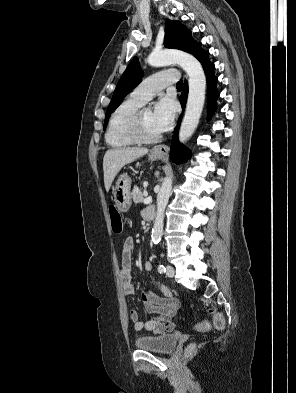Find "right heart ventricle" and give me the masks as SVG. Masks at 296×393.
I'll return each instance as SVG.
<instances>
[{"label": "right heart ventricle", "instance_id": "right-heart-ventricle-1", "mask_svg": "<svg viewBox=\"0 0 296 393\" xmlns=\"http://www.w3.org/2000/svg\"><path fill=\"white\" fill-rule=\"evenodd\" d=\"M140 104L130 98L120 103L111 114L105 133L106 143L115 149L127 148L135 144L129 137L128 127L140 108Z\"/></svg>", "mask_w": 296, "mask_h": 393}]
</instances>
